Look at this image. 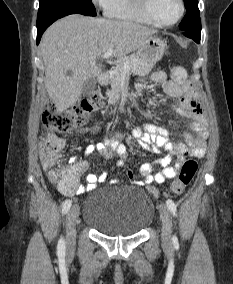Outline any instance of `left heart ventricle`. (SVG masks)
I'll use <instances>...</instances> for the list:
<instances>
[{"label":"left heart ventricle","mask_w":233,"mask_h":284,"mask_svg":"<svg viewBox=\"0 0 233 284\" xmlns=\"http://www.w3.org/2000/svg\"><path fill=\"white\" fill-rule=\"evenodd\" d=\"M151 9L161 22L174 21L180 11L178 0H151Z\"/></svg>","instance_id":"left-heart-ventricle-1"}]
</instances>
